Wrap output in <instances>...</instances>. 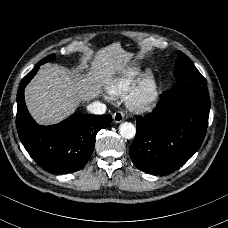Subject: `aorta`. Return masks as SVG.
Listing matches in <instances>:
<instances>
[{"mask_svg": "<svg viewBox=\"0 0 228 228\" xmlns=\"http://www.w3.org/2000/svg\"><path fill=\"white\" fill-rule=\"evenodd\" d=\"M119 132L120 135L125 139H132L135 137L136 134V128L135 126L130 122H122L119 125Z\"/></svg>", "mask_w": 228, "mask_h": 228, "instance_id": "1", "label": "aorta"}]
</instances>
